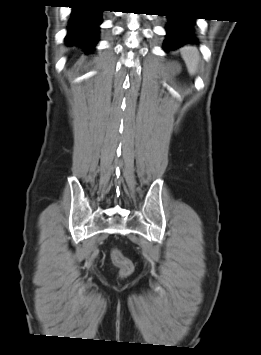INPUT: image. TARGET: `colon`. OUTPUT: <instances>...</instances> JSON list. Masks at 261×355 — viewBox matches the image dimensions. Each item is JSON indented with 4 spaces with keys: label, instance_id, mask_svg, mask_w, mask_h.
<instances>
[{
    "label": "colon",
    "instance_id": "5ec220e1",
    "mask_svg": "<svg viewBox=\"0 0 261 355\" xmlns=\"http://www.w3.org/2000/svg\"><path fill=\"white\" fill-rule=\"evenodd\" d=\"M112 262L119 268L122 276H127L133 271V263L126 258L118 249H112L110 253Z\"/></svg>",
    "mask_w": 261,
    "mask_h": 355
}]
</instances>
